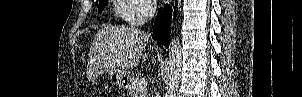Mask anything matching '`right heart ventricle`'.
I'll return each mask as SVG.
<instances>
[{
    "label": "right heart ventricle",
    "instance_id": "obj_1",
    "mask_svg": "<svg viewBox=\"0 0 302 97\" xmlns=\"http://www.w3.org/2000/svg\"><path fill=\"white\" fill-rule=\"evenodd\" d=\"M133 5L129 0H117L115 12L124 20H128L132 13Z\"/></svg>",
    "mask_w": 302,
    "mask_h": 97
}]
</instances>
